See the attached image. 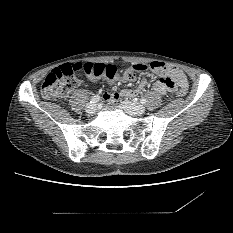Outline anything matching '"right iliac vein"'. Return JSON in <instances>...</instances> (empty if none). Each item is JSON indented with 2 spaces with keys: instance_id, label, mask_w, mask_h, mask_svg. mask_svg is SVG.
I'll return each instance as SVG.
<instances>
[{
  "instance_id": "right-iliac-vein-1",
  "label": "right iliac vein",
  "mask_w": 233,
  "mask_h": 233,
  "mask_svg": "<svg viewBox=\"0 0 233 233\" xmlns=\"http://www.w3.org/2000/svg\"><path fill=\"white\" fill-rule=\"evenodd\" d=\"M96 105L91 103V104H88L87 107H86V112L90 115L94 114L96 112Z\"/></svg>"
}]
</instances>
